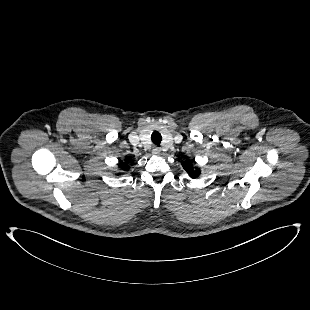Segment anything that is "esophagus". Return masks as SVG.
Listing matches in <instances>:
<instances>
[{"label": "esophagus", "mask_w": 310, "mask_h": 310, "mask_svg": "<svg viewBox=\"0 0 310 310\" xmlns=\"http://www.w3.org/2000/svg\"><path fill=\"white\" fill-rule=\"evenodd\" d=\"M152 153H153L154 155H159V154L161 153V149H160L159 147H154V148L152 149Z\"/></svg>", "instance_id": "1"}]
</instances>
